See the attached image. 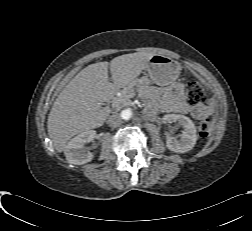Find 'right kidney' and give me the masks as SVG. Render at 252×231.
I'll return each mask as SVG.
<instances>
[{
    "label": "right kidney",
    "instance_id": "obj_1",
    "mask_svg": "<svg viewBox=\"0 0 252 231\" xmlns=\"http://www.w3.org/2000/svg\"><path fill=\"white\" fill-rule=\"evenodd\" d=\"M96 136L94 130H88L71 139L65 147V156L69 163L82 165L90 162L94 153L85 150V144L91 142Z\"/></svg>",
    "mask_w": 252,
    "mask_h": 231
}]
</instances>
